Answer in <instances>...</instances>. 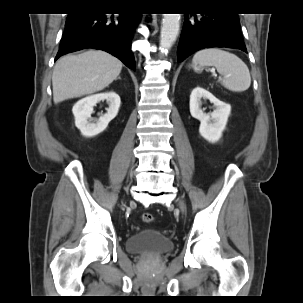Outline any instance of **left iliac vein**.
<instances>
[{
    "label": "left iliac vein",
    "mask_w": 303,
    "mask_h": 303,
    "mask_svg": "<svg viewBox=\"0 0 303 303\" xmlns=\"http://www.w3.org/2000/svg\"><path fill=\"white\" fill-rule=\"evenodd\" d=\"M178 206L183 213L186 211L185 203L182 199L178 200Z\"/></svg>",
    "instance_id": "1"
}]
</instances>
